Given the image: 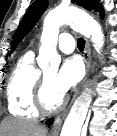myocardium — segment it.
<instances>
[{
	"mask_svg": "<svg viewBox=\"0 0 117 136\" xmlns=\"http://www.w3.org/2000/svg\"><path fill=\"white\" fill-rule=\"evenodd\" d=\"M45 88H46V80L43 77H40L35 95H34V104L38 112L41 114H53L60 110L64 103H65V97L61 96L58 103L54 106H49L45 101Z\"/></svg>",
	"mask_w": 117,
	"mask_h": 136,
	"instance_id": "obj_1",
	"label": "myocardium"
}]
</instances>
